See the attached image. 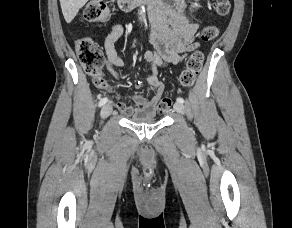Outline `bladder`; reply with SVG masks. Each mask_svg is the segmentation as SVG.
I'll use <instances>...</instances> for the list:
<instances>
[{
	"instance_id": "bladder-1",
	"label": "bladder",
	"mask_w": 292,
	"mask_h": 228,
	"mask_svg": "<svg viewBox=\"0 0 292 228\" xmlns=\"http://www.w3.org/2000/svg\"><path fill=\"white\" fill-rule=\"evenodd\" d=\"M130 121L137 123V124H151L158 121V118L155 116H146V115H134L130 118Z\"/></svg>"
}]
</instances>
